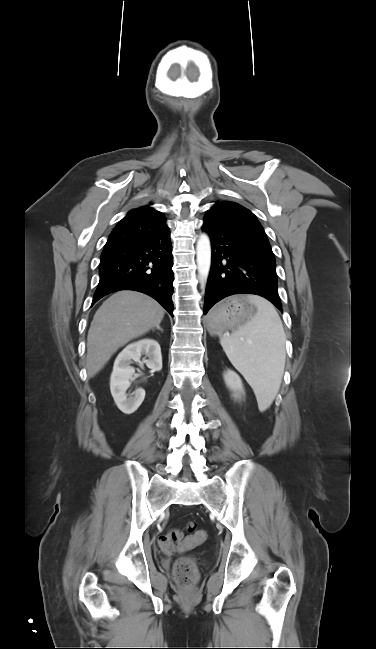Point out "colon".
I'll return each mask as SVG.
<instances>
[{"instance_id":"colon-1","label":"colon","mask_w":376,"mask_h":649,"mask_svg":"<svg viewBox=\"0 0 376 649\" xmlns=\"http://www.w3.org/2000/svg\"><path fill=\"white\" fill-rule=\"evenodd\" d=\"M189 533L187 539L183 531L171 529L160 537V545L167 552L183 549L192 543H200L205 540L204 531L197 530L194 523L187 525ZM173 575L176 583L183 588H190L198 577V564L195 559L183 557L177 560L174 565Z\"/></svg>"}]
</instances>
